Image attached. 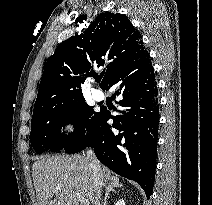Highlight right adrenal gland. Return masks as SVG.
<instances>
[{"mask_svg": "<svg viewBox=\"0 0 212 205\" xmlns=\"http://www.w3.org/2000/svg\"><path fill=\"white\" fill-rule=\"evenodd\" d=\"M122 187H123V185L120 184L118 181H112L111 184L107 187L103 205H107L108 198L110 196V192H115L116 188H122Z\"/></svg>", "mask_w": 212, "mask_h": 205, "instance_id": "1", "label": "right adrenal gland"}]
</instances>
